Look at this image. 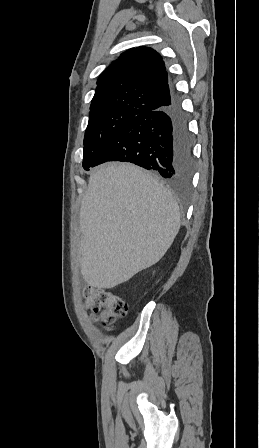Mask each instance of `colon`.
<instances>
[{
  "mask_svg": "<svg viewBox=\"0 0 259 448\" xmlns=\"http://www.w3.org/2000/svg\"><path fill=\"white\" fill-rule=\"evenodd\" d=\"M84 298L93 320L108 329L118 318L127 314V303L109 290L89 287L84 290Z\"/></svg>",
  "mask_w": 259,
  "mask_h": 448,
  "instance_id": "colon-1",
  "label": "colon"
}]
</instances>
